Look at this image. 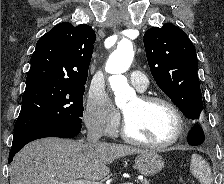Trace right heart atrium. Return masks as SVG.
I'll return each instance as SVG.
<instances>
[{
  "label": "right heart atrium",
  "mask_w": 224,
  "mask_h": 184,
  "mask_svg": "<svg viewBox=\"0 0 224 184\" xmlns=\"http://www.w3.org/2000/svg\"><path fill=\"white\" fill-rule=\"evenodd\" d=\"M83 120L87 128L94 132L109 135L116 131L119 126V115L103 89L90 90Z\"/></svg>",
  "instance_id": "obj_1"
}]
</instances>
